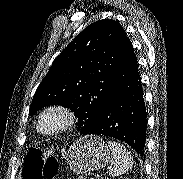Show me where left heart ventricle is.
I'll return each instance as SVG.
<instances>
[{"label": "left heart ventricle", "mask_w": 183, "mask_h": 179, "mask_svg": "<svg viewBox=\"0 0 183 179\" xmlns=\"http://www.w3.org/2000/svg\"><path fill=\"white\" fill-rule=\"evenodd\" d=\"M62 123V117L58 114L51 113L44 117L42 121V128L46 131L58 127Z\"/></svg>", "instance_id": "b2bd125f"}]
</instances>
